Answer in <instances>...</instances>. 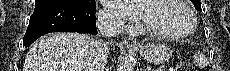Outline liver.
<instances>
[{"mask_svg":"<svg viewBox=\"0 0 230 71\" xmlns=\"http://www.w3.org/2000/svg\"><path fill=\"white\" fill-rule=\"evenodd\" d=\"M91 42L71 32L43 36L28 51L23 71H85Z\"/></svg>","mask_w":230,"mask_h":71,"instance_id":"1","label":"liver"}]
</instances>
